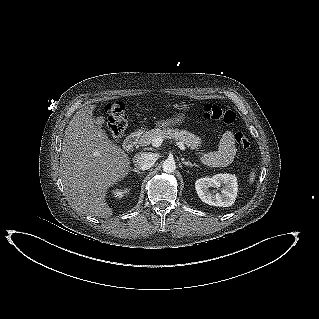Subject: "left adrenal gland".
I'll return each instance as SVG.
<instances>
[{
  "mask_svg": "<svg viewBox=\"0 0 319 319\" xmlns=\"http://www.w3.org/2000/svg\"><path fill=\"white\" fill-rule=\"evenodd\" d=\"M181 160H182V163H183L185 166H190V167L195 166V167H199L198 164H196V163H193V164H192L190 161H185L184 158H182Z\"/></svg>",
  "mask_w": 319,
  "mask_h": 319,
  "instance_id": "obj_1",
  "label": "left adrenal gland"
}]
</instances>
